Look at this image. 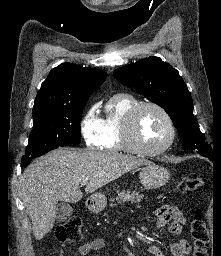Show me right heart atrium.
<instances>
[{
  "label": "right heart atrium",
  "instance_id": "right-heart-atrium-1",
  "mask_svg": "<svg viewBox=\"0 0 221 256\" xmlns=\"http://www.w3.org/2000/svg\"><path fill=\"white\" fill-rule=\"evenodd\" d=\"M80 131L85 144L91 148H98L102 145L103 123L97 114V107L91 106L83 115L80 121Z\"/></svg>",
  "mask_w": 221,
  "mask_h": 256
}]
</instances>
